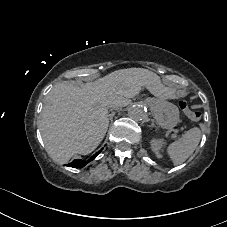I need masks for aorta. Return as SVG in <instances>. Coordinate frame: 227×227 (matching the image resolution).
Returning a JSON list of instances; mask_svg holds the SVG:
<instances>
[{
  "label": "aorta",
  "instance_id": "aorta-1",
  "mask_svg": "<svg viewBox=\"0 0 227 227\" xmlns=\"http://www.w3.org/2000/svg\"><path fill=\"white\" fill-rule=\"evenodd\" d=\"M128 115L135 121H141L147 118V109L143 105L134 104L129 107Z\"/></svg>",
  "mask_w": 227,
  "mask_h": 227
}]
</instances>
